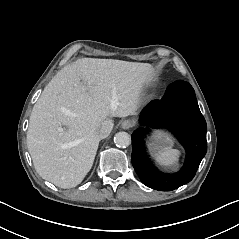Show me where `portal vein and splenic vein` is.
<instances>
[{"label":"portal vein and splenic vein","instance_id":"18ae733b","mask_svg":"<svg viewBox=\"0 0 239 239\" xmlns=\"http://www.w3.org/2000/svg\"><path fill=\"white\" fill-rule=\"evenodd\" d=\"M58 131H59V132H62V131H63V128H58Z\"/></svg>","mask_w":239,"mask_h":239}]
</instances>
